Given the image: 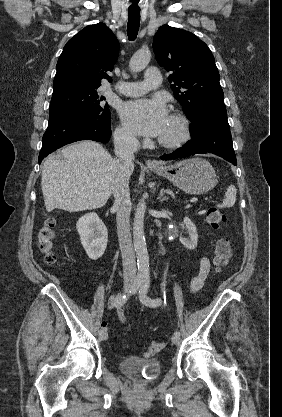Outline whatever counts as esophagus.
<instances>
[{
    "label": "esophagus",
    "mask_w": 282,
    "mask_h": 417,
    "mask_svg": "<svg viewBox=\"0 0 282 417\" xmlns=\"http://www.w3.org/2000/svg\"><path fill=\"white\" fill-rule=\"evenodd\" d=\"M146 165L148 167H159V164L155 160H151V159L146 161Z\"/></svg>",
    "instance_id": "obj_1"
}]
</instances>
